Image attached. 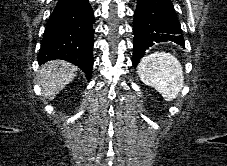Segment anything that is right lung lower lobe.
<instances>
[{
  "label": "right lung lower lobe",
  "mask_w": 227,
  "mask_h": 166,
  "mask_svg": "<svg viewBox=\"0 0 227 166\" xmlns=\"http://www.w3.org/2000/svg\"><path fill=\"white\" fill-rule=\"evenodd\" d=\"M93 23L94 15L89 0H59L46 25L38 62L66 60L78 66L90 79Z\"/></svg>",
  "instance_id": "obj_1"
}]
</instances>
